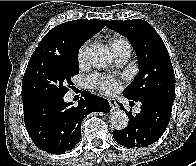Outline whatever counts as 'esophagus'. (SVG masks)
Listing matches in <instances>:
<instances>
[{"label": "esophagus", "mask_w": 196, "mask_h": 166, "mask_svg": "<svg viewBox=\"0 0 196 166\" xmlns=\"http://www.w3.org/2000/svg\"><path fill=\"white\" fill-rule=\"evenodd\" d=\"M108 101H109L111 110H116L119 107L115 99L110 98Z\"/></svg>", "instance_id": "1"}]
</instances>
